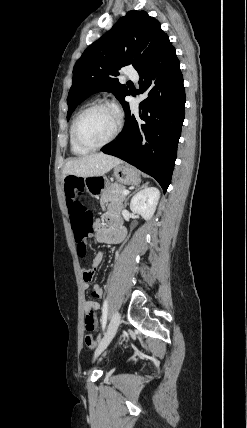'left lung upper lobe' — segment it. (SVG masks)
Wrapping results in <instances>:
<instances>
[{"label": "left lung upper lobe", "mask_w": 247, "mask_h": 428, "mask_svg": "<svg viewBox=\"0 0 247 428\" xmlns=\"http://www.w3.org/2000/svg\"><path fill=\"white\" fill-rule=\"evenodd\" d=\"M172 47L158 20L145 11H129L76 62L67 98V120L78 104L99 91L112 92L124 107L125 96L130 93L115 78L117 69L131 64L139 72Z\"/></svg>", "instance_id": "obj_1"}]
</instances>
